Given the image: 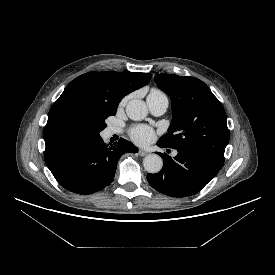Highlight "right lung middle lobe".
<instances>
[{
	"label": "right lung middle lobe",
	"instance_id": "1",
	"mask_svg": "<svg viewBox=\"0 0 275 275\" xmlns=\"http://www.w3.org/2000/svg\"><path fill=\"white\" fill-rule=\"evenodd\" d=\"M118 105L105 102L85 101L65 110L60 127L67 137L88 138L99 136L105 127V120L116 114Z\"/></svg>",
	"mask_w": 275,
	"mask_h": 275
}]
</instances>
